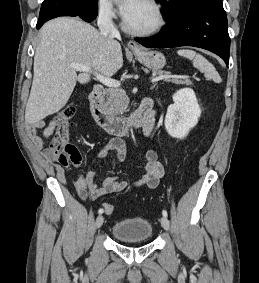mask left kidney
Instances as JSON below:
<instances>
[{"label": "left kidney", "mask_w": 259, "mask_h": 283, "mask_svg": "<svg viewBox=\"0 0 259 283\" xmlns=\"http://www.w3.org/2000/svg\"><path fill=\"white\" fill-rule=\"evenodd\" d=\"M174 103L167 109L165 128L176 139H183L196 126L201 115L196 95L190 88L180 89L173 95Z\"/></svg>", "instance_id": "5707ae66"}]
</instances>
